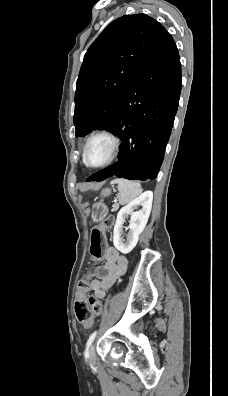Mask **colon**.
Returning a JSON list of instances; mask_svg holds the SVG:
<instances>
[{"instance_id":"5ec220e1","label":"colon","mask_w":228,"mask_h":396,"mask_svg":"<svg viewBox=\"0 0 228 396\" xmlns=\"http://www.w3.org/2000/svg\"><path fill=\"white\" fill-rule=\"evenodd\" d=\"M112 217H105L96 225L91 233L90 253L96 259H101L105 244V231L111 227ZM90 286L89 276H85L77 283L74 312L77 321L88 328L92 324L93 316L99 315L102 310L100 302L94 297H88Z\"/></svg>"}]
</instances>
